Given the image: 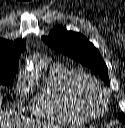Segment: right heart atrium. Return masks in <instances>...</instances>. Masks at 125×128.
<instances>
[{"instance_id": "d8ad5b80", "label": "right heart atrium", "mask_w": 125, "mask_h": 128, "mask_svg": "<svg viewBox=\"0 0 125 128\" xmlns=\"http://www.w3.org/2000/svg\"><path fill=\"white\" fill-rule=\"evenodd\" d=\"M31 83L25 75H21L17 81V90L19 93L25 94L29 92Z\"/></svg>"}]
</instances>
